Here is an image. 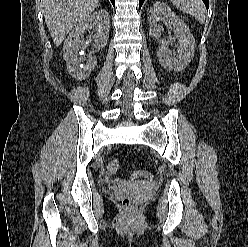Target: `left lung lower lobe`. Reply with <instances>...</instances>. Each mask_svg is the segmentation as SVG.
Returning a JSON list of instances; mask_svg holds the SVG:
<instances>
[{
    "mask_svg": "<svg viewBox=\"0 0 248 247\" xmlns=\"http://www.w3.org/2000/svg\"><path fill=\"white\" fill-rule=\"evenodd\" d=\"M144 1L145 0H139V8H141V6H142V4H143ZM202 1L204 2L206 8L208 9V7H209V0H202Z\"/></svg>",
    "mask_w": 248,
    "mask_h": 247,
    "instance_id": "0a47b994",
    "label": "left lung lower lobe"
}]
</instances>
